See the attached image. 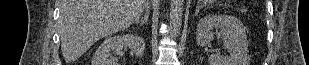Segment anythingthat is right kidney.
<instances>
[{
    "label": "right kidney",
    "mask_w": 309,
    "mask_h": 65,
    "mask_svg": "<svg viewBox=\"0 0 309 65\" xmlns=\"http://www.w3.org/2000/svg\"><path fill=\"white\" fill-rule=\"evenodd\" d=\"M123 47H129L132 53L141 57L145 50L144 39L136 34L110 36L96 50L92 65H117L118 59L110 54L119 53Z\"/></svg>",
    "instance_id": "1"
}]
</instances>
